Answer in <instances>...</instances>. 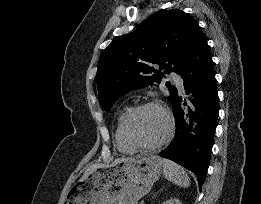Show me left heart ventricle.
Returning <instances> with one entry per match:
<instances>
[{
  "instance_id": "obj_1",
  "label": "left heart ventricle",
  "mask_w": 261,
  "mask_h": 204,
  "mask_svg": "<svg viewBox=\"0 0 261 204\" xmlns=\"http://www.w3.org/2000/svg\"><path fill=\"white\" fill-rule=\"evenodd\" d=\"M165 130V118L155 108H146L139 111L132 117L128 125L129 135L140 144H151L158 141Z\"/></svg>"
}]
</instances>
